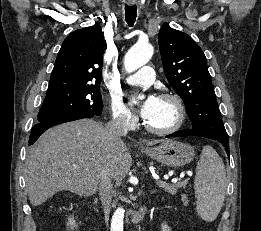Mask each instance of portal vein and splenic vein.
<instances>
[{"mask_svg": "<svg viewBox=\"0 0 261 231\" xmlns=\"http://www.w3.org/2000/svg\"><path fill=\"white\" fill-rule=\"evenodd\" d=\"M159 178H156V182L158 185H165L166 182L165 181H161V180H158ZM172 182L174 183V185H178V184H181L183 182H177L176 180H172Z\"/></svg>", "mask_w": 261, "mask_h": 231, "instance_id": "portal-vein-and-splenic-vein-1", "label": "portal vein and splenic vein"}]
</instances>
